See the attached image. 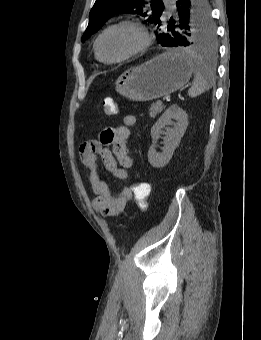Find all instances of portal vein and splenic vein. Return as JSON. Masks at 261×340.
<instances>
[{"label":"portal vein and splenic vein","mask_w":261,"mask_h":340,"mask_svg":"<svg viewBox=\"0 0 261 340\" xmlns=\"http://www.w3.org/2000/svg\"><path fill=\"white\" fill-rule=\"evenodd\" d=\"M169 99H170V98H168V97H163V98H162L163 101H167V100H169Z\"/></svg>","instance_id":"obj_1"}]
</instances>
